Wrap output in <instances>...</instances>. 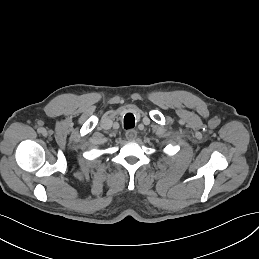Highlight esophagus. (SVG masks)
Wrapping results in <instances>:
<instances>
[{
    "mask_svg": "<svg viewBox=\"0 0 259 259\" xmlns=\"http://www.w3.org/2000/svg\"><path fill=\"white\" fill-rule=\"evenodd\" d=\"M137 137V132L135 130H128L126 132V138L128 140H134Z\"/></svg>",
    "mask_w": 259,
    "mask_h": 259,
    "instance_id": "34e87169",
    "label": "esophagus"
}]
</instances>
